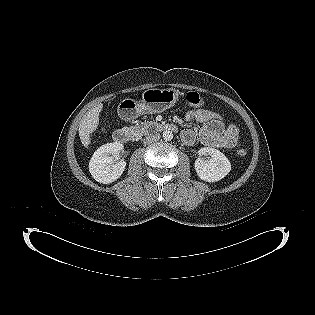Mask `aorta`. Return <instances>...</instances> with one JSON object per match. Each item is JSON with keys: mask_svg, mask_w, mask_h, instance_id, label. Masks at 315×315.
<instances>
[{"mask_svg": "<svg viewBox=\"0 0 315 315\" xmlns=\"http://www.w3.org/2000/svg\"><path fill=\"white\" fill-rule=\"evenodd\" d=\"M163 139L166 141H170L173 139V134L171 131H164L163 132Z\"/></svg>", "mask_w": 315, "mask_h": 315, "instance_id": "obj_1", "label": "aorta"}]
</instances>
